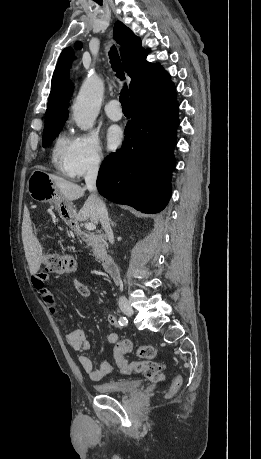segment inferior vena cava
<instances>
[{"instance_id": "inferior-vena-cava-1", "label": "inferior vena cava", "mask_w": 261, "mask_h": 459, "mask_svg": "<svg viewBox=\"0 0 261 459\" xmlns=\"http://www.w3.org/2000/svg\"><path fill=\"white\" fill-rule=\"evenodd\" d=\"M100 158H96L88 167L86 176H85V183L88 190L91 192V198L94 201L95 213L97 219L101 222L102 227L105 230V233L108 237V240L113 243L114 237L113 232L110 227L108 212L104 202L101 198L96 194V180L99 170ZM124 301V297L119 299V303Z\"/></svg>"}]
</instances>
